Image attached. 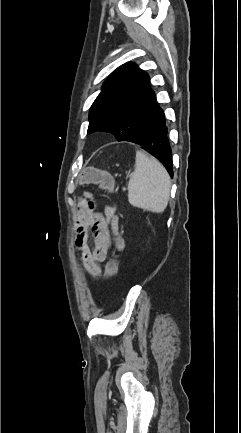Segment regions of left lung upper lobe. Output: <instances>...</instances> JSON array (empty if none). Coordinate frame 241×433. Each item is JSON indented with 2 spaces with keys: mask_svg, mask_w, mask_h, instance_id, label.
<instances>
[{
  "mask_svg": "<svg viewBox=\"0 0 241 433\" xmlns=\"http://www.w3.org/2000/svg\"><path fill=\"white\" fill-rule=\"evenodd\" d=\"M161 110L148 74L128 62L104 82L89 112L88 133L111 132L126 141L147 128Z\"/></svg>",
  "mask_w": 241,
  "mask_h": 433,
  "instance_id": "obj_1",
  "label": "left lung upper lobe"
}]
</instances>
